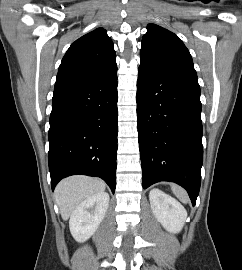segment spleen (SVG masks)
Here are the masks:
<instances>
[{"instance_id": "spleen-1", "label": "spleen", "mask_w": 242, "mask_h": 270, "mask_svg": "<svg viewBox=\"0 0 242 270\" xmlns=\"http://www.w3.org/2000/svg\"><path fill=\"white\" fill-rule=\"evenodd\" d=\"M171 189L180 201H182L183 203L188 202V195L184 189H182L181 187L177 185H172Z\"/></svg>"}]
</instances>
